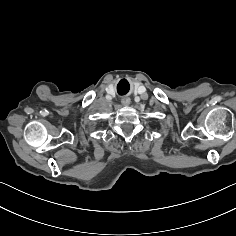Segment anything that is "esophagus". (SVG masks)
I'll use <instances>...</instances> for the list:
<instances>
[{"label":"esophagus","mask_w":236,"mask_h":236,"mask_svg":"<svg viewBox=\"0 0 236 236\" xmlns=\"http://www.w3.org/2000/svg\"><path fill=\"white\" fill-rule=\"evenodd\" d=\"M122 104L123 105H129L130 104V99H123Z\"/></svg>","instance_id":"esophagus-1"}]
</instances>
